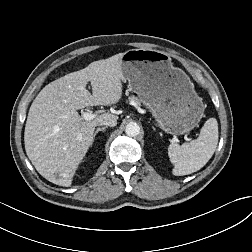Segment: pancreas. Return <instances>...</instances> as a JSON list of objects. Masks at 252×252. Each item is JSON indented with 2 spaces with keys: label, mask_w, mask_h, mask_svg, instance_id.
I'll list each match as a JSON object with an SVG mask.
<instances>
[{
  "label": "pancreas",
  "mask_w": 252,
  "mask_h": 252,
  "mask_svg": "<svg viewBox=\"0 0 252 252\" xmlns=\"http://www.w3.org/2000/svg\"><path fill=\"white\" fill-rule=\"evenodd\" d=\"M130 100L137 102L140 104V100L137 97H130Z\"/></svg>",
  "instance_id": "obj_1"
}]
</instances>
